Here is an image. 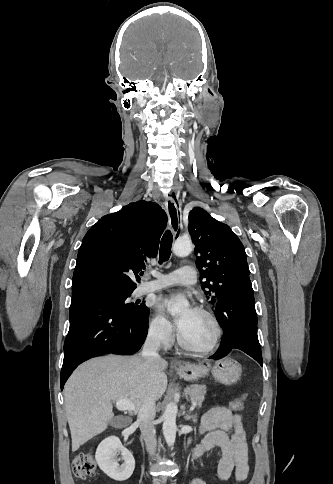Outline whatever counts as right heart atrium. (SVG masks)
I'll return each instance as SVG.
<instances>
[{
    "label": "right heart atrium",
    "mask_w": 333,
    "mask_h": 484,
    "mask_svg": "<svg viewBox=\"0 0 333 484\" xmlns=\"http://www.w3.org/2000/svg\"><path fill=\"white\" fill-rule=\"evenodd\" d=\"M148 335L151 340L160 346L169 347L173 342L174 329L166 317L156 313L150 320Z\"/></svg>",
    "instance_id": "obj_1"
}]
</instances>
